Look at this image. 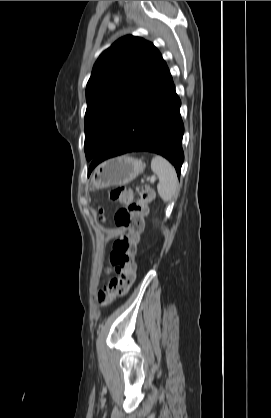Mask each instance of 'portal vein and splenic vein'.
I'll use <instances>...</instances> for the list:
<instances>
[{
	"label": "portal vein and splenic vein",
	"mask_w": 271,
	"mask_h": 418,
	"mask_svg": "<svg viewBox=\"0 0 271 418\" xmlns=\"http://www.w3.org/2000/svg\"><path fill=\"white\" fill-rule=\"evenodd\" d=\"M155 180V177L151 178V182H153Z\"/></svg>",
	"instance_id": "portal-vein-and-splenic-vein-1"
}]
</instances>
